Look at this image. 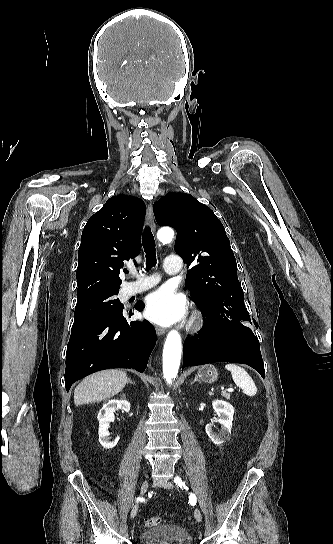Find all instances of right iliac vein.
I'll list each match as a JSON object with an SVG mask.
<instances>
[{"label":"right iliac vein","instance_id":"63e3f726","mask_svg":"<svg viewBox=\"0 0 333 544\" xmlns=\"http://www.w3.org/2000/svg\"><path fill=\"white\" fill-rule=\"evenodd\" d=\"M148 489V481L145 480L143 481L142 485H141V495H144L146 493ZM138 508H139V504L138 502L132 507V510H131V513H130V517L133 519L136 515H137V512H138Z\"/></svg>","mask_w":333,"mask_h":544}]
</instances>
